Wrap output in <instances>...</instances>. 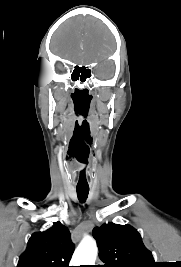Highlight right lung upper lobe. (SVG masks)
<instances>
[{
    "label": "right lung upper lobe",
    "instance_id": "right-lung-upper-lobe-1",
    "mask_svg": "<svg viewBox=\"0 0 181 267\" xmlns=\"http://www.w3.org/2000/svg\"><path fill=\"white\" fill-rule=\"evenodd\" d=\"M74 248L68 228L55 222L47 231L31 236L17 267H69Z\"/></svg>",
    "mask_w": 181,
    "mask_h": 267
}]
</instances>
